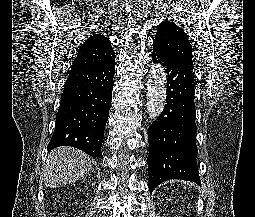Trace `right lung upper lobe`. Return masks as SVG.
I'll return each instance as SVG.
<instances>
[{"mask_svg": "<svg viewBox=\"0 0 255 217\" xmlns=\"http://www.w3.org/2000/svg\"><path fill=\"white\" fill-rule=\"evenodd\" d=\"M115 52L110 41L101 34L91 35L79 48L73 67L85 68L113 61Z\"/></svg>", "mask_w": 255, "mask_h": 217, "instance_id": "1", "label": "right lung upper lobe"}]
</instances>
